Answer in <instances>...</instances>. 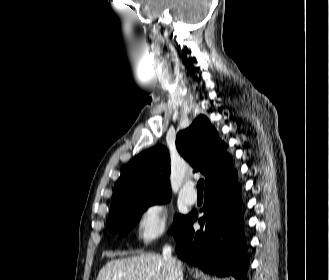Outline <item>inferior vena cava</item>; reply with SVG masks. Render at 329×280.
<instances>
[{"label":"inferior vena cava","instance_id":"inferior-vena-cava-1","mask_svg":"<svg viewBox=\"0 0 329 280\" xmlns=\"http://www.w3.org/2000/svg\"><path fill=\"white\" fill-rule=\"evenodd\" d=\"M162 254L169 267L171 280H183L182 266L179 261L172 257L171 246L165 245Z\"/></svg>","mask_w":329,"mask_h":280}]
</instances>
